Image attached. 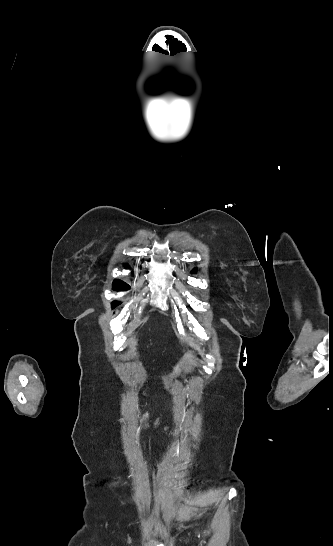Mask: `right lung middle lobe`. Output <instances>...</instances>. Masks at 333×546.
<instances>
[{"mask_svg": "<svg viewBox=\"0 0 333 546\" xmlns=\"http://www.w3.org/2000/svg\"><path fill=\"white\" fill-rule=\"evenodd\" d=\"M113 287H114L115 290H126V289L129 288V286L125 282H123L121 280H118V279L114 280ZM119 304H120V302L115 301L114 303H112V306L114 308V307L118 306Z\"/></svg>", "mask_w": 333, "mask_h": 546, "instance_id": "1", "label": "right lung middle lobe"}]
</instances>
